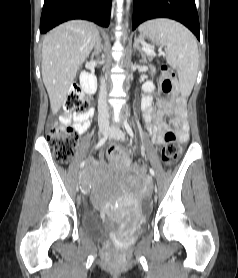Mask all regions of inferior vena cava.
I'll list each match as a JSON object with an SVG mask.
<instances>
[{
  "label": "inferior vena cava",
  "instance_id": "1",
  "mask_svg": "<svg viewBox=\"0 0 238 278\" xmlns=\"http://www.w3.org/2000/svg\"><path fill=\"white\" fill-rule=\"evenodd\" d=\"M109 107L107 104V92L105 87V79H101V87L98 99V123L99 126L109 127Z\"/></svg>",
  "mask_w": 238,
  "mask_h": 278
}]
</instances>
